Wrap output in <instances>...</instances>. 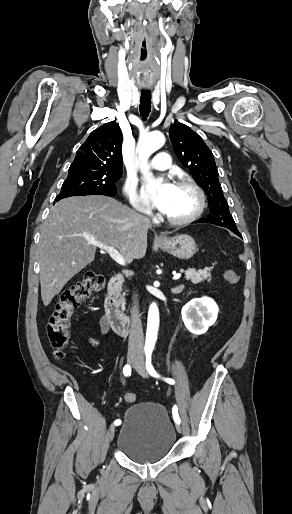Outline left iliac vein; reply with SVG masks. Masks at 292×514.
Returning <instances> with one entry per match:
<instances>
[{"mask_svg": "<svg viewBox=\"0 0 292 514\" xmlns=\"http://www.w3.org/2000/svg\"><path fill=\"white\" fill-rule=\"evenodd\" d=\"M134 368L142 377L146 378L148 376L143 358L138 359V362L134 365ZM176 430L178 433H182V427L180 424H176Z\"/></svg>", "mask_w": 292, "mask_h": 514, "instance_id": "left-iliac-vein-1", "label": "left iliac vein"}]
</instances>
